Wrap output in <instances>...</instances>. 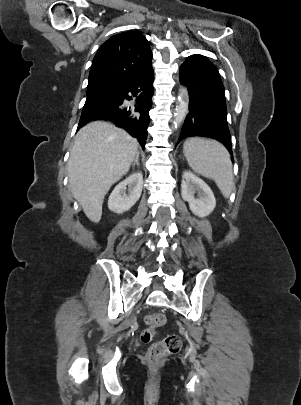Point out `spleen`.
<instances>
[{"label": "spleen", "instance_id": "1", "mask_svg": "<svg viewBox=\"0 0 301 405\" xmlns=\"http://www.w3.org/2000/svg\"><path fill=\"white\" fill-rule=\"evenodd\" d=\"M184 156L192 170L215 181L228 198L233 187L232 163L223 145L202 138H189L183 146Z\"/></svg>", "mask_w": 301, "mask_h": 405}]
</instances>
